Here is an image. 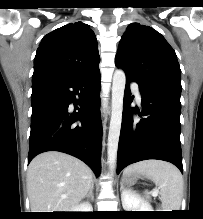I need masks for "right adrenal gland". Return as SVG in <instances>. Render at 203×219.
<instances>
[{"label": "right adrenal gland", "mask_w": 203, "mask_h": 219, "mask_svg": "<svg viewBox=\"0 0 203 219\" xmlns=\"http://www.w3.org/2000/svg\"><path fill=\"white\" fill-rule=\"evenodd\" d=\"M93 189H94V183H92L89 193L85 196L87 199H90L92 201L94 200Z\"/></svg>", "instance_id": "right-adrenal-gland-1"}]
</instances>
